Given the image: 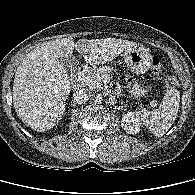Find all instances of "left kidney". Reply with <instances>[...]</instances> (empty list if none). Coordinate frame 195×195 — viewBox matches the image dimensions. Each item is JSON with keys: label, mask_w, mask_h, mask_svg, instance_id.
<instances>
[{"label": "left kidney", "mask_w": 195, "mask_h": 195, "mask_svg": "<svg viewBox=\"0 0 195 195\" xmlns=\"http://www.w3.org/2000/svg\"><path fill=\"white\" fill-rule=\"evenodd\" d=\"M140 109L141 108H139V110ZM139 115H140V111H136V112H128L122 117L121 125L127 133L136 134L140 131Z\"/></svg>", "instance_id": "left-kidney-1"}]
</instances>
